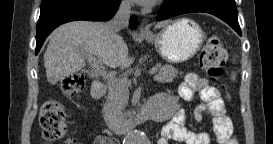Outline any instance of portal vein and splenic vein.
Returning a JSON list of instances; mask_svg holds the SVG:
<instances>
[{"label": "portal vein and splenic vein", "instance_id": "1", "mask_svg": "<svg viewBox=\"0 0 273 144\" xmlns=\"http://www.w3.org/2000/svg\"><path fill=\"white\" fill-rule=\"evenodd\" d=\"M85 57L100 75H102V76H104L105 78L108 79V85L109 86L118 85V86L128 90V82L127 81H120L119 79L109 77L106 74V72L104 70V67L102 66V63L99 60H97L93 55H91L89 53H86ZM156 73H157L156 68H152L149 71L150 75H154Z\"/></svg>", "mask_w": 273, "mask_h": 144}]
</instances>
